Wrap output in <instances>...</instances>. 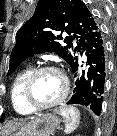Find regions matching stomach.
<instances>
[{
  "label": "stomach",
  "instance_id": "stomach-1",
  "mask_svg": "<svg viewBox=\"0 0 117 136\" xmlns=\"http://www.w3.org/2000/svg\"><path fill=\"white\" fill-rule=\"evenodd\" d=\"M59 124L58 116L50 113L40 114L11 136H49Z\"/></svg>",
  "mask_w": 117,
  "mask_h": 136
}]
</instances>
